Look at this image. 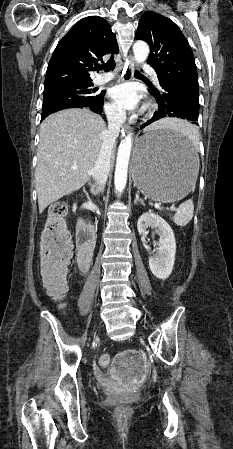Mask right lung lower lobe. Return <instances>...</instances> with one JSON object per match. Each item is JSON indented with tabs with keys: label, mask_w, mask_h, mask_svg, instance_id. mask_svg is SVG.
Wrapping results in <instances>:
<instances>
[{
	"label": "right lung lower lobe",
	"mask_w": 233,
	"mask_h": 449,
	"mask_svg": "<svg viewBox=\"0 0 233 449\" xmlns=\"http://www.w3.org/2000/svg\"><path fill=\"white\" fill-rule=\"evenodd\" d=\"M103 102H104V92H102V96L98 99V101L95 104L91 105V106L82 105V104H75V105L68 106L66 108H88V109H90V110H92V111H94L96 113H101L102 112ZM66 108H64V109H66ZM51 113H53V112H51ZM51 113L42 114L41 121H43Z\"/></svg>",
	"instance_id": "1"
}]
</instances>
